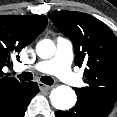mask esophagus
Returning a JSON list of instances; mask_svg holds the SVG:
<instances>
[{
	"label": "esophagus",
	"mask_w": 117,
	"mask_h": 117,
	"mask_svg": "<svg viewBox=\"0 0 117 117\" xmlns=\"http://www.w3.org/2000/svg\"><path fill=\"white\" fill-rule=\"evenodd\" d=\"M38 86H39V89L41 91H48V90H50L52 88L51 86L46 85V84L41 83V82L38 83Z\"/></svg>",
	"instance_id": "obj_1"
}]
</instances>
